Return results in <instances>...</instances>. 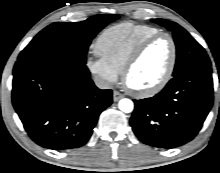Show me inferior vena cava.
I'll list each match as a JSON object with an SVG mask.
<instances>
[{
  "label": "inferior vena cava",
  "instance_id": "602c4592",
  "mask_svg": "<svg viewBox=\"0 0 220 173\" xmlns=\"http://www.w3.org/2000/svg\"><path fill=\"white\" fill-rule=\"evenodd\" d=\"M94 83L99 89H110L112 87L111 82L101 76H95Z\"/></svg>",
  "mask_w": 220,
  "mask_h": 173
}]
</instances>
